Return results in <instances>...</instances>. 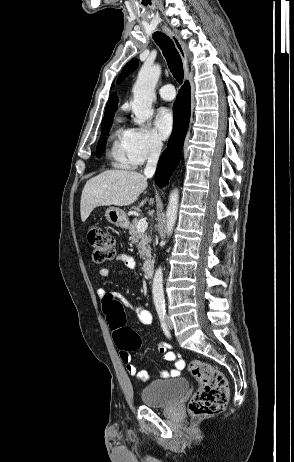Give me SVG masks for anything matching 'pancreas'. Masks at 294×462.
<instances>
[{
  "instance_id": "pancreas-1",
  "label": "pancreas",
  "mask_w": 294,
  "mask_h": 462,
  "mask_svg": "<svg viewBox=\"0 0 294 462\" xmlns=\"http://www.w3.org/2000/svg\"><path fill=\"white\" fill-rule=\"evenodd\" d=\"M137 223L138 219H134L128 227L130 239L138 243L140 258L146 260L151 257V248L149 245L151 238L147 233L137 231Z\"/></svg>"
}]
</instances>
